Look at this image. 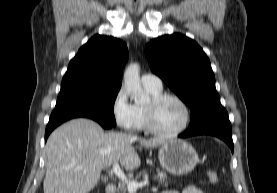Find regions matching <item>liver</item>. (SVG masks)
<instances>
[{
    "mask_svg": "<svg viewBox=\"0 0 277 193\" xmlns=\"http://www.w3.org/2000/svg\"><path fill=\"white\" fill-rule=\"evenodd\" d=\"M154 148L162 138L139 139L125 133L104 132L89 119L71 120L49 136L45 146L44 193H88L97 185L101 170L115 162L127 170L140 166L133 147Z\"/></svg>",
    "mask_w": 277,
    "mask_h": 193,
    "instance_id": "obj_1",
    "label": "liver"
}]
</instances>
